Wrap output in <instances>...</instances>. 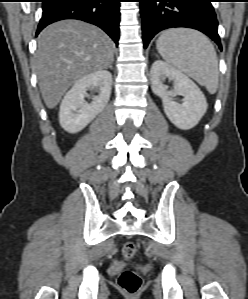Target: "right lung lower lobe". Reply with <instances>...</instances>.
Listing matches in <instances>:
<instances>
[{"label": "right lung lower lobe", "mask_w": 248, "mask_h": 299, "mask_svg": "<svg viewBox=\"0 0 248 299\" xmlns=\"http://www.w3.org/2000/svg\"><path fill=\"white\" fill-rule=\"evenodd\" d=\"M121 0H43V14L37 33L47 25L78 19L103 29L118 45Z\"/></svg>", "instance_id": "obj_1"}]
</instances>
